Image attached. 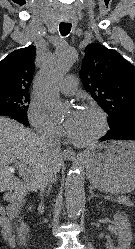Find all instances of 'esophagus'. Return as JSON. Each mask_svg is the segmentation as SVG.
<instances>
[{
	"label": "esophagus",
	"mask_w": 135,
	"mask_h": 249,
	"mask_svg": "<svg viewBox=\"0 0 135 249\" xmlns=\"http://www.w3.org/2000/svg\"><path fill=\"white\" fill-rule=\"evenodd\" d=\"M63 156L67 159H75L76 158V154L71 148L64 149Z\"/></svg>",
	"instance_id": "esophagus-1"
}]
</instances>
